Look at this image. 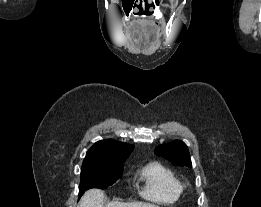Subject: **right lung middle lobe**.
Listing matches in <instances>:
<instances>
[{"instance_id": "right-lung-middle-lobe-1", "label": "right lung middle lobe", "mask_w": 261, "mask_h": 207, "mask_svg": "<svg viewBox=\"0 0 261 207\" xmlns=\"http://www.w3.org/2000/svg\"><path fill=\"white\" fill-rule=\"evenodd\" d=\"M126 159L127 157L121 158L110 164L82 166L79 198L88 189H104L114 184L122 176Z\"/></svg>"}]
</instances>
